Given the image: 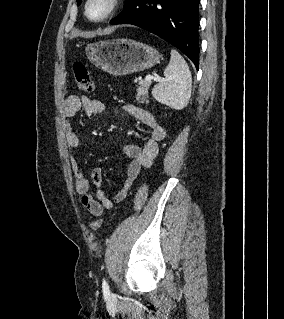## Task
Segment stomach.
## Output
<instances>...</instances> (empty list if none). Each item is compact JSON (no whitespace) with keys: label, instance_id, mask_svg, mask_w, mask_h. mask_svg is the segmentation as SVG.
Here are the masks:
<instances>
[{"label":"stomach","instance_id":"stomach-1","mask_svg":"<svg viewBox=\"0 0 284 319\" xmlns=\"http://www.w3.org/2000/svg\"><path fill=\"white\" fill-rule=\"evenodd\" d=\"M85 51L95 66L117 76L149 69L160 61L155 48L127 38L88 44Z\"/></svg>","mask_w":284,"mask_h":319}]
</instances>
